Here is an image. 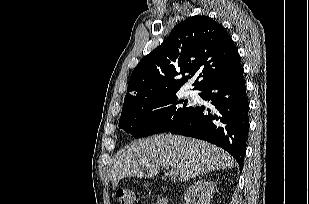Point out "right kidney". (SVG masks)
Returning <instances> with one entry per match:
<instances>
[{"label": "right kidney", "mask_w": 309, "mask_h": 204, "mask_svg": "<svg viewBox=\"0 0 309 204\" xmlns=\"http://www.w3.org/2000/svg\"><path fill=\"white\" fill-rule=\"evenodd\" d=\"M214 186L212 181L199 180L187 189L184 199L187 204H210Z\"/></svg>", "instance_id": "1"}]
</instances>
